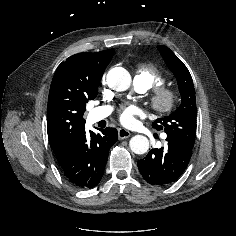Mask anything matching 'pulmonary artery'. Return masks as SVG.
<instances>
[{
  "label": "pulmonary artery",
  "instance_id": "obj_1",
  "mask_svg": "<svg viewBox=\"0 0 236 236\" xmlns=\"http://www.w3.org/2000/svg\"><path fill=\"white\" fill-rule=\"evenodd\" d=\"M135 84L140 92H145L147 89L144 86L139 85L136 81ZM112 108L110 106H102L95 108L91 111V117L94 121L102 120L111 114ZM166 136L164 135V138Z\"/></svg>",
  "mask_w": 236,
  "mask_h": 236
}]
</instances>
